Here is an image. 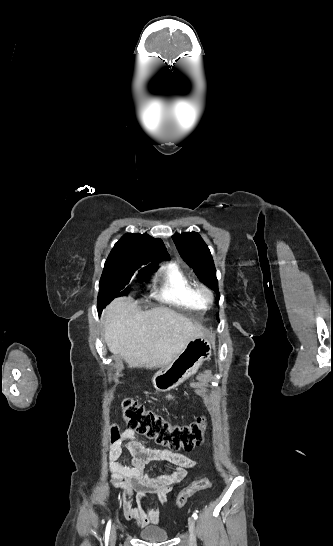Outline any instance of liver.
<instances>
[{
    "mask_svg": "<svg viewBox=\"0 0 333 546\" xmlns=\"http://www.w3.org/2000/svg\"><path fill=\"white\" fill-rule=\"evenodd\" d=\"M102 319L109 350L130 368H163L204 333L202 326L170 308L140 311L131 297L114 299Z\"/></svg>",
    "mask_w": 333,
    "mask_h": 546,
    "instance_id": "6515ba94",
    "label": "liver"
}]
</instances>
